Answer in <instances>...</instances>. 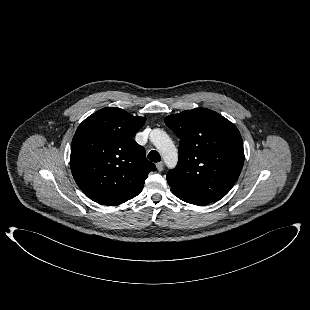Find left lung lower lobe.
<instances>
[{"instance_id":"obj_1","label":"left lung lower lobe","mask_w":310,"mask_h":310,"mask_svg":"<svg viewBox=\"0 0 310 310\" xmlns=\"http://www.w3.org/2000/svg\"><path fill=\"white\" fill-rule=\"evenodd\" d=\"M173 193L178 197L180 198L181 200L187 202V203H190V204H195V205H206V204H209L211 202L209 201H206V200H201V199H195V198H192V197H188V196H183V195H180L179 193H176L173 191Z\"/></svg>"}]
</instances>
